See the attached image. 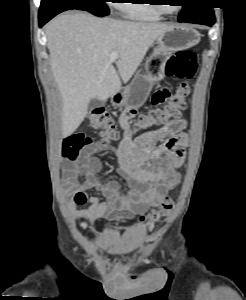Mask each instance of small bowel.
<instances>
[{"instance_id": "obj_1", "label": "small bowel", "mask_w": 246, "mask_h": 300, "mask_svg": "<svg viewBox=\"0 0 246 300\" xmlns=\"http://www.w3.org/2000/svg\"><path fill=\"white\" fill-rule=\"evenodd\" d=\"M159 92L168 94L167 89ZM135 113V108H127L120 114L123 139L118 146H105L86 138L85 148L78 160L71 161L64 169L63 187L71 198L68 208L75 220L83 219L93 225L102 219L119 221L123 217L145 212L157 206L168 191L179 183L178 169L184 162V149L188 143V136L183 131L185 120H178L180 126L156 148V160H153L133 140L130 120ZM104 150L117 155V173L127 178V194L121 191L117 180L106 179L102 174V163L97 154ZM89 190H94L93 195H87ZM85 205L88 207L80 208Z\"/></svg>"}]
</instances>
